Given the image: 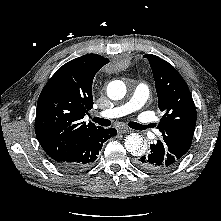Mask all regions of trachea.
I'll list each match as a JSON object with an SVG mask.
<instances>
[{"label": "trachea", "mask_w": 221, "mask_h": 221, "mask_svg": "<svg viewBox=\"0 0 221 221\" xmlns=\"http://www.w3.org/2000/svg\"><path fill=\"white\" fill-rule=\"evenodd\" d=\"M94 122L98 123L99 125L101 126H110L111 125V121L108 120V119H103V118H99V117H95L92 119ZM129 126L133 129H136V130H144L146 129L147 127H150V126H143L141 124H138L136 122H130L129 123Z\"/></svg>", "instance_id": "trachea-1"}]
</instances>
